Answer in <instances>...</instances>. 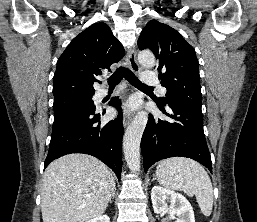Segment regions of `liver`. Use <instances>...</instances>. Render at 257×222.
<instances>
[{
	"mask_svg": "<svg viewBox=\"0 0 257 222\" xmlns=\"http://www.w3.org/2000/svg\"><path fill=\"white\" fill-rule=\"evenodd\" d=\"M115 189L108 167L85 154L51 162L43 175V222H86L102 215Z\"/></svg>",
	"mask_w": 257,
	"mask_h": 222,
	"instance_id": "liver-1",
	"label": "liver"
}]
</instances>
